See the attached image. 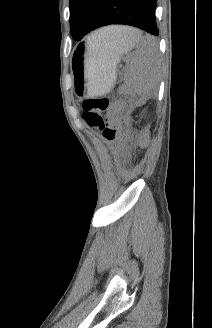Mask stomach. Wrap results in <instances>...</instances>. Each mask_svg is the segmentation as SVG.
Instances as JSON below:
<instances>
[{
	"instance_id": "obj_1",
	"label": "stomach",
	"mask_w": 212,
	"mask_h": 328,
	"mask_svg": "<svg viewBox=\"0 0 212 328\" xmlns=\"http://www.w3.org/2000/svg\"><path fill=\"white\" fill-rule=\"evenodd\" d=\"M131 45L119 49L97 51L86 43L78 47L73 56L75 85L79 92L88 96L104 95L110 91L116 80V66L121 54L129 51ZM113 50V52L111 51Z\"/></svg>"
}]
</instances>
